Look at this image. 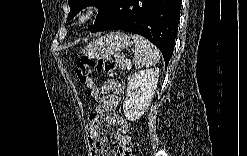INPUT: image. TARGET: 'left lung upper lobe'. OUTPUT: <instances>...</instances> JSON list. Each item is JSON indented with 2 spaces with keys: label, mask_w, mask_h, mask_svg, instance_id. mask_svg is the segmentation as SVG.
<instances>
[{
  "label": "left lung upper lobe",
  "mask_w": 247,
  "mask_h": 156,
  "mask_svg": "<svg viewBox=\"0 0 247 156\" xmlns=\"http://www.w3.org/2000/svg\"><path fill=\"white\" fill-rule=\"evenodd\" d=\"M115 0H68V4L70 6V13L68 15L69 18H72L76 15L77 12L82 10L84 7L87 6H96L99 9V14L95 21V24L100 21L110 10L112 5L114 4ZM94 24V25H95ZM91 29V27L89 28Z\"/></svg>",
  "instance_id": "obj_1"
}]
</instances>
